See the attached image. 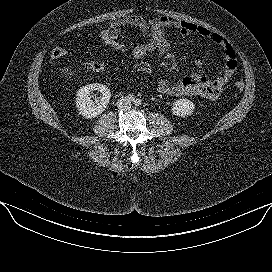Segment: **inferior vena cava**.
Here are the masks:
<instances>
[{"label": "inferior vena cava", "mask_w": 272, "mask_h": 272, "mask_svg": "<svg viewBox=\"0 0 272 272\" xmlns=\"http://www.w3.org/2000/svg\"><path fill=\"white\" fill-rule=\"evenodd\" d=\"M117 108L122 110H129L131 108V102L128 98L122 97L117 101Z\"/></svg>", "instance_id": "obj_1"}]
</instances>
